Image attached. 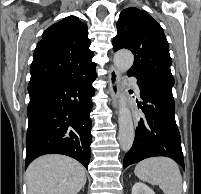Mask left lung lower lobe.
Returning a JSON list of instances; mask_svg holds the SVG:
<instances>
[{
  "instance_id": "left-lung-lower-lobe-1",
  "label": "left lung lower lobe",
  "mask_w": 201,
  "mask_h": 194,
  "mask_svg": "<svg viewBox=\"0 0 201 194\" xmlns=\"http://www.w3.org/2000/svg\"><path fill=\"white\" fill-rule=\"evenodd\" d=\"M145 116L140 118L133 145L123 167L145 158L166 156L184 168L180 133L175 122L172 88L161 83L138 81Z\"/></svg>"
}]
</instances>
